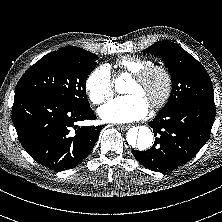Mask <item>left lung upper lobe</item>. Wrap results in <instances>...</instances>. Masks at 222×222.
I'll return each mask as SVG.
<instances>
[{"mask_svg": "<svg viewBox=\"0 0 222 222\" xmlns=\"http://www.w3.org/2000/svg\"><path fill=\"white\" fill-rule=\"evenodd\" d=\"M143 52L160 56L171 74V95L159 112H166L188 101L214 102L213 86L208 73L179 45L163 40L144 49Z\"/></svg>", "mask_w": 222, "mask_h": 222, "instance_id": "obj_1", "label": "left lung upper lobe"}]
</instances>
